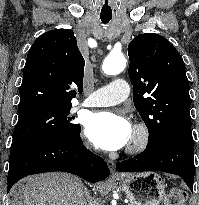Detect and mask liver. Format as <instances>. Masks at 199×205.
I'll return each instance as SVG.
<instances>
[{"label": "liver", "mask_w": 199, "mask_h": 205, "mask_svg": "<svg viewBox=\"0 0 199 205\" xmlns=\"http://www.w3.org/2000/svg\"><path fill=\"white\" fill-rule=\"evenodd\" d=\"M22 195L13 205H87L82 181L67 173H45L26 178Z\"/></svg>", "instance_id": "6515ba94"}]
</instances>
